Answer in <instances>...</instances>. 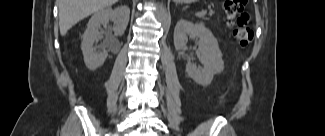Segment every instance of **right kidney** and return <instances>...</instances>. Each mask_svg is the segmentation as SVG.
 I'll return each mask as SVG.
<instances>
[{"label":"right kidney","instance_id":"1","mask_svg":"<svg viewBox=\"0 0 325 136\" xmlns=\"http://www.w3.org/2000/svg\"><path fill=\"white\" fill-rule=\"evenodd\" d=\"M129 15L130 10L127 6H119L115 9L104 8L91 17L81 43L84 62L89 70L94 71L102 66L108 56L107 51L96 50L97 48L94 46V42L98 39L100 26L106 25L109 20H112L115 35L121 36L128 25Z\"/></svg>","mask_w":325,"mask_h":136}]
</instances>
